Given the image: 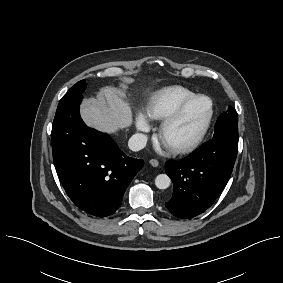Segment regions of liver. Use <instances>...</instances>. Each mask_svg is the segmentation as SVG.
<instances>
[{
    "label": "liver",
    "mask_w": 283,
    "mask_h": 283,
    "mask_svg": "<svg viewBox=\"0 0 283 283\" xmlns=\"http://www.w3.org/2000/svg\"><path fill=\"white\" fill-rule=\"evenodd\" d=\"M84 122L97 130L116 133L132 124V111L114 88L100 90L97 98L84 100L81 105Z\"/></svg>",
    "instance_id": "1"
}]
</instances>
